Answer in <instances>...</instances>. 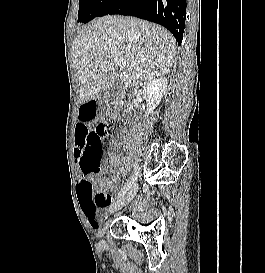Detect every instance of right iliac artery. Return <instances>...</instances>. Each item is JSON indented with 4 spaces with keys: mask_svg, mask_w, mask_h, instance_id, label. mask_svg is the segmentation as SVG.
I'll return each instance as SVG.
<instances>
[{
    "mask_svg": "<svg viewBox=\"0 0 265 273\" xmlns=\"http://www.w3.org/2000/svg\"><path fill=\"white\" fill-rule=\"evenodd\" d=\"M139 171H140V167L137 163H135L134 164V174H133L130 182L121 190V192L118 194L117 198L123 196L127 191H129V189L132 187L134 182L137 180Z\"/></svg>",
    "mask_w": 265,
    "mask_h": 273,
    "instance_id": "right-iliac-artery-1",
    "label": "right iliac artery"
}]
</instances>
